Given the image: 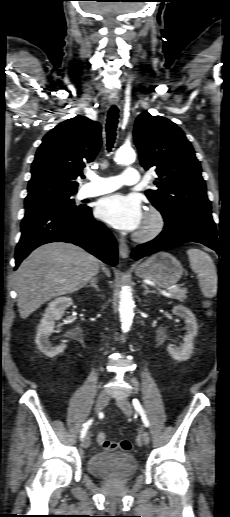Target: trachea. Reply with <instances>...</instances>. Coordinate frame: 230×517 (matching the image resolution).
I'll return each instance as SVG.
<instances>
[{"label":"trachea","mask_w":230,"mask_h":517,"mask_svg":"<svg viewBox=\"0 0 230 517\" xmlns=\"http://www.w3.org/2000/svg\"><path fill=\"white\" fill-rule=\"evenodd\" d=\"M119 111L116 106H112L107 115L106 134H107V148L111 151L116 138V128L118 124Z\"/></svg>","instance_id":"obj_1"}]
</instances>
